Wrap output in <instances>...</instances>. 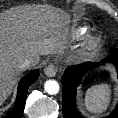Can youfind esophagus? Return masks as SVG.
Masks as SVG:
<instances>
[{"instance_id": "34e87169", "label": "esophagus", "mask_w": 118, "mask_h": 118, "mask_svg": "<svg viewBox=\"0 0 118 118\" xmlns=\"http://www.w3.org/2000/svg\"><path fill=\"white\" fill-rule=\"evenodd\" d=\"M44 72L46 76L54 77L56 75L57 68L53 64H50L44 69Z\"/></svg>"}]
</instances>
